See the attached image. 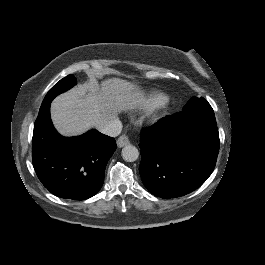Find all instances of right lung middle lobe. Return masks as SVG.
I'll return each instance as SVG.
<instances>
[{
    "label": "right lung middle lobe",
    "mask_w": 265,
    "mask_h": 265,
    "mask_svg": "<svg viewBox=\"0 0 265 265\" xmlns=\"http://www.w3.org/2000/svg\"><path fill=\"white\" fill-rule=\"evenodd\" d=\"M76 84V78L73 75H68L61 79L45 96L40 110L44 109L51 101L60 93L67 91Z\"/></svg>",
    "instance_id": "obj_1"
}]
</instances>
